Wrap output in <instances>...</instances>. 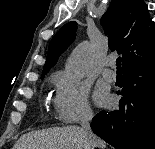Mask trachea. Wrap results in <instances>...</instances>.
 Segmentation results:
<instances>
[{"instance_id":"3493384b","label":"trachea","mask_w":155,"mask_h":149,"mask_svg":"<svg viewBox=\"0 0 155 149\" xmlns=\"http://www.w3.org/2000/svg\"><path fill=\"white\" fill-rule=\"evenodd\" d=\"M116 66H117V70H121V58L118 57L116 60Z\"/></svg>"}]
</instances>
